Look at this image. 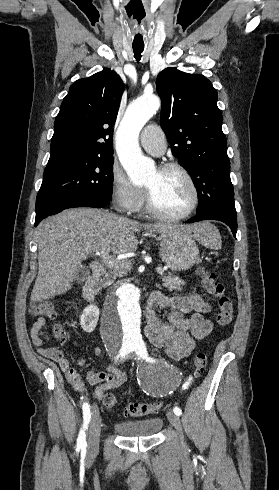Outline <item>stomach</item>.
Wrapping results in <instances>:
<instances>
[{"label":"stomach","mask_w":279,"mask_h":490,"mask_svg":"<svg viewBox=\"0 0 279 490\" xmlns=\"http://www.w3.org/2000/svg\"><path fill=\"white\" fill-rule=\"evenodd\" d=\"M160 258L172 272H185L200 264L199 248L189 234L164 232L160 234Z\"/></svg>","instance_id":"1"}]
</instances>
